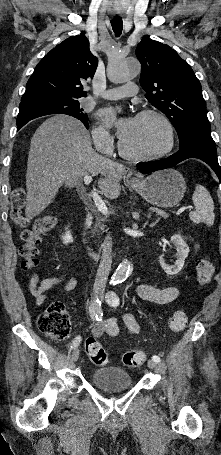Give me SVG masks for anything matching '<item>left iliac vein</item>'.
Wrapping results in <instances>:
<instances>
[{
	"instance_id": "obj_1",
	"label": "left iliac vein",
	"mask_w": 221,
	"mask_h": 455,
	"mask_svg": "<svg viewBox=\"0 0 221 455\" xmlns=\"http://www.w3.org/2000/svg\"><path fill=\"white\" fill-rule=\"evenodd\" d=\"M147 364H148V367L151 368V369H156V368H158L157 362H155V361H153V360H149Z\"/></svg>"
}]
</instances>
